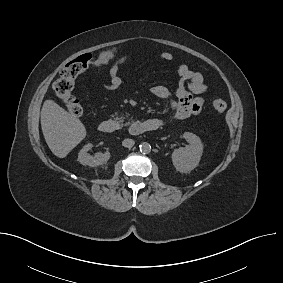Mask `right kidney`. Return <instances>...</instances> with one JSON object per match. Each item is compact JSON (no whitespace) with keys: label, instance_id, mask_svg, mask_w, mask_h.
I'll list each match as a JSON object with an SVG mask.
<instances>
[{"label":"right kidney","instance_id":"right-kidney-1","mask_svg":"<svg viewBox=\"0 0 283 283\" xmlns=\"http://www.w3.org/2000/svg\"><path fill=\"white\" fill-rule=\"evenodd\" d=\"M92 147L91 144L85 145L78 154V161L82 165H88L90 167H96L99 165H103L107 163V161L110 159V153H96L94 156H91L88 153V150Z\"/></svg>","mask_w":283,"mask_h":283}]
</instances>
